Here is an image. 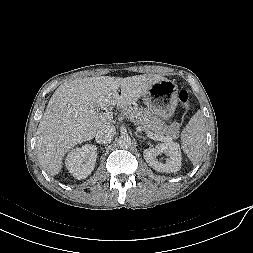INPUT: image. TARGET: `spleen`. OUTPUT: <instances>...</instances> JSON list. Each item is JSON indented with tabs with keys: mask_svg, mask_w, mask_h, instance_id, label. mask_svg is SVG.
<instances>
[{
	"mask_svg": "<svg viewBox=\"0 0 253 253\" xmlns=\"http://www.w3.org/2000/svg\"><path fill=\"white\" fill-rule=\"evenodd\" d=\"M205 119L198 110L181 133V147L193 165L200 163L205 149Z\"/></svg>",
	"mask_w": 253,
	"mask_h": 253,
	"instance_id": "spleen-1",
	"label": "spleen"
}]
</instances>
